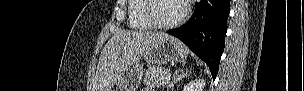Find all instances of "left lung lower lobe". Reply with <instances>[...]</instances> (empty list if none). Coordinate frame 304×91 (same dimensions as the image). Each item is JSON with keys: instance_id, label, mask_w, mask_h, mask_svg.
<instances>
[{"instance_id": "left-lung-lower-lobe-1", "label": "left lung lower lobe", "mask_w": 304, "mask_h": 91, "mask_svg": "<svg viewBox=\"0 0 304 91\" xmlns=\"http://www.w3.org/2000/svg\"><path fill=\"white\" fill-rule=\"evenodd\" d=\"M229 12L230 0H200L185 25L168 31L206 62L213 79L216 78L225 46Z\"/></svg>"}]
</instances>
